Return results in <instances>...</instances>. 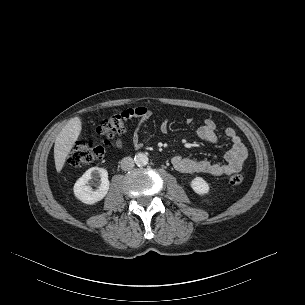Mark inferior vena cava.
I'll list each match as a JSON object with an SVG mask.
<instances>
[{"label":"inferior vena cava","instance_id":"obj_1","mask_svg":"<svg viewBox=\"0 0 305 305\" xmlns=\"http://www.w3.org/2000/svg\"><path fill=\"white\" fill-rule=\"evenodd\" d=\"M120 163L121 169L124 171L130 170L134 167V160L131 157H124Z\"/></svg>","mask_w":305,"mask_h":305}]
</instances>
